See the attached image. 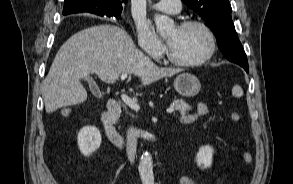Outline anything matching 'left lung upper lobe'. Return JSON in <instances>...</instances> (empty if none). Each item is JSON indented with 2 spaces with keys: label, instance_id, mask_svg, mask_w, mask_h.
<instances>
[{
  "label": "left lung upper lobe",
  "instance_id": "obj_1",
  "mask_svg": "<svg viewBox=\"0 0 293 184\" xmlns=\"http://www.w3.org/2000/svg\"><path fill=\"white\" fill-rule=\"evenodd\" d=\"M182 2L198 13L210 26L221 52L229 61L247 58L232 21L229 0H182Z\"/></svg>",
  "mask_w": 293,
  "mask_h": 184
}]
</instances>
